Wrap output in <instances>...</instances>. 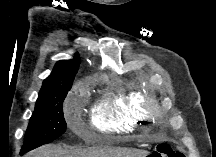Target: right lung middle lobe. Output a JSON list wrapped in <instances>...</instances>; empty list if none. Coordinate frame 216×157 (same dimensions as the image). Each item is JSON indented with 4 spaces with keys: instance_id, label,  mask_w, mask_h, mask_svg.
Listing matches in <instances>:
<instances>
[{
    "instance_id": "right-lung-middle-lobe-1",
    "label": "right lung middle lobe",
    "mask_w": 216,
    "mask_h": 157,
    "mask_svg": "<svg viewBox=\"0 0 216 157\" xmlns=\"http://www.w3.org/2000/svg\"><path fill=\"white\" fill-rule=\"evenodd\" d=\"M69 90L65 88L48 97L39 106L35 105L20 154L49 143L66 131L63 101Z\"/></svg>"
}]
</instances>
